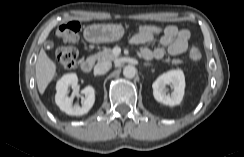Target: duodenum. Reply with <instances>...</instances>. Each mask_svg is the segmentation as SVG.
<instances>
[{
  "label": "duodenum",
  "mask_w": 244,
  "mask_h": 157,
  "mask_svg": "<svg viewBox=\"0 0 244 157\" xmlns=\"http://www.w3.org/2000/svg\"><path fill=\"white\" fill-rule=\"evenodd\" d=\"M94 65V60L92 58H87L82 60V62L80 63V69L82 72L84 73H89Z\"/></svg>",
  "instance_id": "obj_1"
}]
</instances>
